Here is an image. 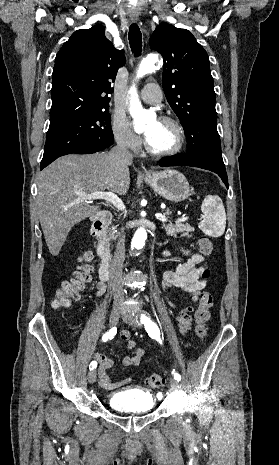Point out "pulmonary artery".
<instances>
[{"mask_svg": "<svg viewBox=\"0 0 279 465\" xmlns=\"http://www.w3.org/2000/svg\"><path fill=\"white\" fill-rule=\"evenodd\" d=\"M140 97L148 104H158L162 100V93L157 84L149 83L142 89Z\"/></svg>", "mask_w": 279, "mask_h": 465, "instance_id": "1", "label": "pulmonary artery"}]
</instances>
